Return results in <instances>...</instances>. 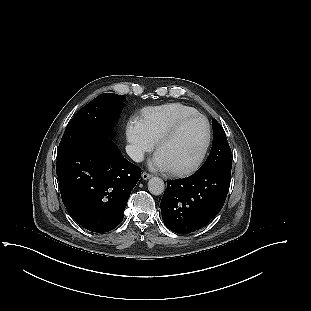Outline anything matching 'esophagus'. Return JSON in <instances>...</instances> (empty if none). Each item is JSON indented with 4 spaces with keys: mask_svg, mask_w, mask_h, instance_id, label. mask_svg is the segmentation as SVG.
<instances>
[{
    "mask_svg": "<svg viewBox=\"0 0 311 311\" xmlns=\"http://www.w3.org/2000/svg\"><path fill=\"white\" fill-rule=\"evenodd\" d=\"M151 177V174L147 173V172H143L142 173V179L143 180H147Z\"/></svg>",
    "mask_w": 311,
    "mask_h": 311,
    "instance_id": "34e87169",
    "label": "esophagus"
}]
</instances>
